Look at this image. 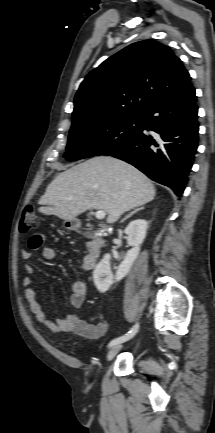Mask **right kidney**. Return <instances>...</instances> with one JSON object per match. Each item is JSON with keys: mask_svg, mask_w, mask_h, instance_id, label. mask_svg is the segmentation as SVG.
Wrapping results in <instances>:
<instances>
[{"mask_svg": "<svg viewBox=\"0 0 215 433\" xmlns=\"http://www.w3.org/2000/svg\"><path fill=\"white\" fill-rule=\"evenodd\" d=\"M147 228L148 222L143 219L133 220L125 228L124 232L127 235V242L132 248L126 253L124 260L119 265L115 275L111 272L110 255H104L93 273L94 283L100 292L104 293L108 291L113 283L120 281L129 273L139 254L140 245L146 237Z\"/></svg>", "mask_w": 215, "mask_h": 433, "instance_id": "ca27d5eb", "label": "right kidney"}]
</instances>
